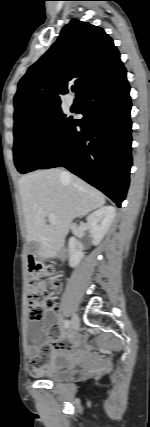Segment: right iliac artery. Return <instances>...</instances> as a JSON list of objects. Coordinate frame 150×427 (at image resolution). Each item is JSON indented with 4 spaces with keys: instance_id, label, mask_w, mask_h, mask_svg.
I'll return each instance as SVG.
<instances>
[{
    "instance_id": "82829eb1",
    "label": "right iliac artery",
    "mask_w": 150,
    "mask_h": 427,
    "mask_svg": "<svg viewBox=\"0 0 150 427\" xmlns=\"http://www.w3.org/2000/svg\"><path fill=\"white\" fill-rule=\"evenodd\" d=\"M69 326H70V321L69 320H65L64 327L68 328Z\"/></svg>"
}]
</instances>
